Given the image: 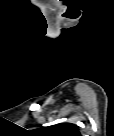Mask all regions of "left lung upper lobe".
Returning a JSON list of instances; mask_svg holds the SVG:
<instances>
[{"mask_svg":"<svg viewBox=\"0 0 114 136\" xmlns=\"http://www.w3.org/2000/svg\"><path fill=\"white\" fill-rule=\"evenodd\" d=\"M42 136H80L79 127L72 123H59L38 130Z\"/></svg>","mask_w":114,"mask_h":136,"instance_id":"5c2ea615","label":"left lung upper lobe"}]
</instances>
